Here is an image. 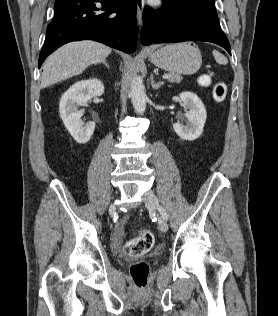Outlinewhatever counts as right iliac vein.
Segmentation results:
<instances>
[{
	"label": "right iliac vein",
	"mask_w": 278,
	"mask_h": 316,
	"mask_svg": "<svg viewBox=\"0 0 278 316\" xmlns=\"http://www.w3.org/2000/svg\"><path fill=\"white\" fill-rule=\"evenodd\" d=\"M110 211H111L112 213L115 212V205H112V206L110 207Z\"/></svg>",
	"instance_id": "1"
}]
</instances>
